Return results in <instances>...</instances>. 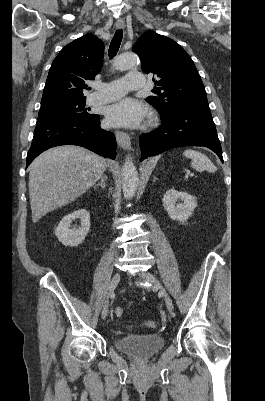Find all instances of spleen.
Wrapping results in <instances>:
<instances>
[{
  "label": "spleen",
  "mask_w": 265,
  "mask_h": 401,
  "mask_svg": "<svg viewBox=\"0 0 265 401\" xmlns=\"http://www.w3.org/2000/svg\"><path fill=\"white\" fill-rule=\"evenodd\" d=\"M184 156L187 158H191V166L192 168H196L198 172H202V170H208V172H214L217 170L215 164L211 162L210 158L203 154V152H199V150H192V148H187L183 152Z\"/></svg>",
  "instance_id": "spleen-1"
}]
</instances>
